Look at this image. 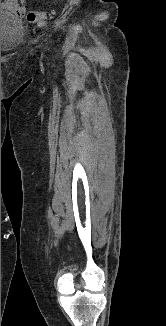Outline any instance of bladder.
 I'll return each mask as SVG.
<instances>
[{
  "label": "bladder",
  "mask_w": 166,
  "mask_h": 326,
  "mask_svg": "<svg viewBox=\"0 0 166 326\" xmlns=\"http://www.w3.org/2000/svg\"><path fill=\"white\" fill-rule=\"evenodd\" d=\"M24 34L22 19L9 11L1 10V51H9L18 46Z\"/></svg>",
  "instance_id": "obj_1"
}]
</instances>
